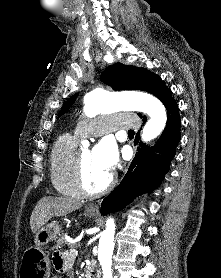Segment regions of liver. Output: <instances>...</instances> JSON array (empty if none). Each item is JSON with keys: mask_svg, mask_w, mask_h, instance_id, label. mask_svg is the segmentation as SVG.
I'll use <instances>...</instances> for the list:
<instances>
[{"mask_svg": "<svg viewBox=\"0 0 221 278\" xmlns=\"http://www.w3.org/2000/svg\"><path fill=\"white\" fill-rule=\"evenodd\" d=\"M81 207L82 203L71 198L45 196L38 201L31 214V230L35 234L52 217L65 216Z\"/></svg>", "mask_w": 221, "mask_h": 278, "instance_id": "obj_1", "label": "liver"}]
</instances>
